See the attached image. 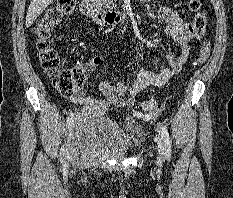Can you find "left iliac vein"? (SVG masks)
I'll return each instance as SVG.
<instances>
[{"label": "left iliac vein", "mask_w": 233, "mask_h": 198, "mask_svg": "<svg viewBox=\"0 0 233 198\" xmlns=\"http://www.w3.org/2000/svg\"><path fill=\"white\" fill-rule=\"evenodd\" d=\"M155 141L157 143V149H158V157L160 160L164 159L165 151H164V145H163V139L160 135H158L155 138Z\"/></svg>", "instance_id": "obj_1"}]
</instances>
